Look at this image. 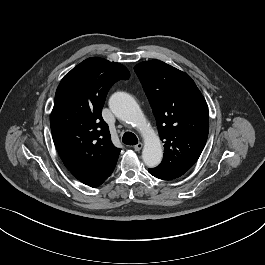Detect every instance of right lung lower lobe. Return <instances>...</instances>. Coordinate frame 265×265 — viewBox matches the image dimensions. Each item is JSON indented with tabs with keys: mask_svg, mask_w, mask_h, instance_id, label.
Returning <instances> with one entry per match:
<instances>
[{
	"mask_svg": "<svg viewBox=\"0 0 265 265\" xmlns=\"http://www.w3.org/2000/svg\"><path fill=\"white\" fill-rule=\"evenodd\" d=\"M118 158L107 163L96 175L94 176H83L77 178L82 183L90 187H98L101 185L113 172Z\"/></svg>",
	"mask_w": 265,
	"mask_h": 265,
	"instance_id": "right-lung-lower-lobe-1",
	"label": "right lung lower lobe"
}]
</instances>
